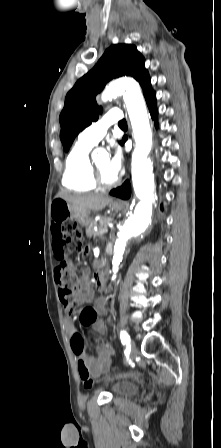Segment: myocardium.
<instances>
[{
  "label": "myocardium",
  "instance_id": "1",
  "mask_svg": "<svg viewBox=\"0 0 221 448\" xmlns=\"http://www.w3.org/2000/svg\"><path fill=\"white\" fill-rule=\"evenodd\" d=\"M92 172H93V179L97 186L99 187H111L114 184L117 183V178H114L112 180L105 179L102 174L100 173L99 169L97 168L95 163L91 162Z\"/></svg>",
  "mask_w": 221,
  "mask_h": 448
}]
</instances>
